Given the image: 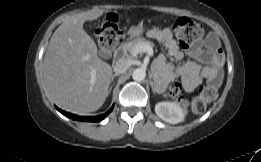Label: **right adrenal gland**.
<instances>
[{
    "label": "right adrenal gland",
    "instance_id": "obj_1",
    "mask_svg": "<svg viewBox=\"0 0 261 162\" xmlns=\"http://www.w3.org/2000/svg\"><path fill=\"white\" fill-rule=\"evenodd\" d=\"M119 76V74H113L112 77H111V83L114 81V78ZM112 87H113V84L110 86L109 90H108V94H110L111 90H112Z\"/></svg>",
    "mask_w": 261,
    "mask_h": 162
}]
</instances>
